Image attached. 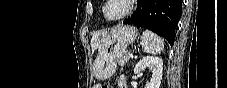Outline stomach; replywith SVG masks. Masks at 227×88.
I'll return each mask as SVG.
<instances>
[{
	"mask_svg": "<svg viewBox=\"0 0 227 88\" xmlns=\"http://www.w3.org/2000/svg\"><path fill=\"white\" fill-rule=\"evenodd\" d=\"M137 35L135 27L118 26L101 40L98 55L93 62L96 78L107 79L114 73L117 61L125 55L127 47L135 41Z\"/></svg>",
	"mask_w": 227,
	"mask_h": 88,
	"instance_id": "0dacf381",
	"label": "stomach"
}]
</instances>
